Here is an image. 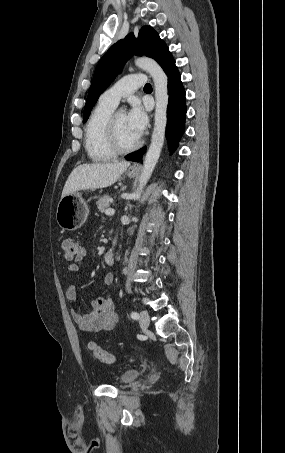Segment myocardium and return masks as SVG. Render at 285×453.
<instances>
[{
	"instance_id": "f54148a6",
	"label": "myocardium",
	"mask_w": 285,
	"mask_h": 453,
	"mask_svg": "<svg viewBox=\"0 0 285 453\" xmlns=\"http://www.w3.org/2000/svg\"><path fill=\"white\" fill-rule=\"evenodd\" d=\"M120 112H122V111H116L111 114V116L108 119L107 127H106L107 143H108L110 149L114 152V154H118V155L130 153V152L138 149L142 144L141 138H139L134 144H132L130 146H123L120 143L118 134H117V125H116V118Z\"/></svg>"
}]
</instances>
